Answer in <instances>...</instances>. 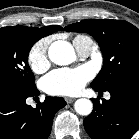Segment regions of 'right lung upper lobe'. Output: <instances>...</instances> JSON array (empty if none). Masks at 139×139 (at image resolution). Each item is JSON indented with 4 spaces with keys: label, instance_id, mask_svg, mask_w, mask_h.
<instances>
[{
    "label": "right lung upper lobe",
    "instance_id": "1",
    "mask_svg": "<svg viewBox=\"0 0 139 139\" xmlns=\"http://www.w3.org/2000/svg\"><path fill=\"white\" fill-rule=\"evenodd\" d=\"M8 28H13V29H18V30H22V31H25V32H29V33H32L39 38L48 36V35L56 32V31L63 30V28L60 27V26H45V27H42V28L25 27V26H13V27H8Z\"/></svg>",
    "mask_w": 139,
    "mask_h": 139
}]
</instances>
